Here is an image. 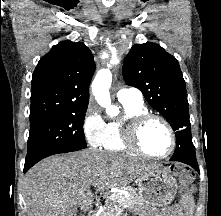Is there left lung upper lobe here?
Segmentation results:
<instances>
[{
  "instance_id": "1",
  "label": "left lung upper lobe",
  "mask_w": 221,
  "mask_h": 216,
  "mask_svg": "<svg viewBox=\"0 0 221 216\" xmlns=\"http://www.w3.org/2000/svg\"><path fill=\"white\" fill-rule=\"evenodd\" d=\"M122 71L126 84L138 88L176 131V145L195 150L185 81L176 58L158 44H135Z\"/></svg>"
}]
</instances>
